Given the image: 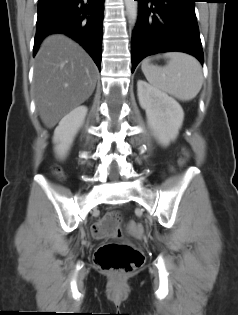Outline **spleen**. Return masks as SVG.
Returning a JSON list of instances; mask_svg holds the SVG:
<instances>
[{"label": "spleen", "mask_w": 238, "mask_h": 315, "mask_svg": "<svg viewBox=\"0 0 238 315\" xmlns=\"http://www.w3.org/2000/svg\"><path fill=\"white\" fill-rule=\"evenodd\" d=\"M167 65H150L151 58L142 62L141 69L148 82L156 89L180 101L196 97L202 88L203 73L199 61L186 53L171 52L163 55Z\"/></svg>", "instance_id": "obj_1"}]
</instances>
